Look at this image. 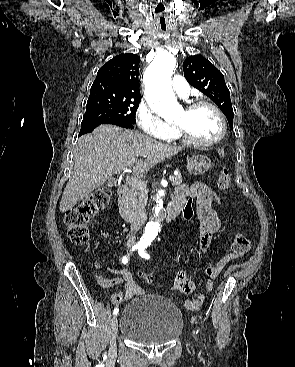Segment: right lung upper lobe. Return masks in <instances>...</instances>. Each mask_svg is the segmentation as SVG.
I'll return each mask as SVG.
<instances>
[{"label": "right lung upper lobe", "mask_w": 295, "mask_h": 367, "mask_svg": "<svg viewBox=\"0 0 295 367\" xmlns=\"http://www.w3.org/2000/svg\"><path fill=\"white\" fill-rule=\"evenodd\" d=\"M139 56L120 54L109 60L97 73L90 92L140 98Z\"/></svg>", "instance_id": "obj_1"}]
</instances>
